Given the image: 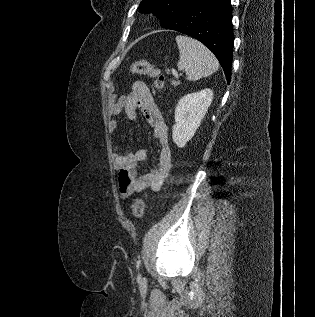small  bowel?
Returning a JSON list of instances; mask_svg holds the SVG:
<instances>
[{"label": "small bowel", "instance_id": "small-bowel-1", "mask_svg": "<svg viewBox=\"0 0 315 317\" xmlns=\"http://www.w3.org/2000/svg\"><path fill=\"white\" fill-rule=\"evenodd\" d=\"M122 110L130 120L136 119L137 110L143 113L147 123L152 127L153 135L159 144V161L157 168H151L147 173L139 176L138 164L149 162L147 150L141 148L133 152H125L120 144H116L113 147L112 157L114 167L119 175L120 194L126 198L135 192H141L145 189L159 191L165 184L172 167L171 147L168 126L144 82H135L131 94L121 98L111 106L112 115H118ZM118 129V120L111 119L108 123V131L113 134Z\"/></svg>", "mask_w": 315, "mask_h": 317}]
</instances>
